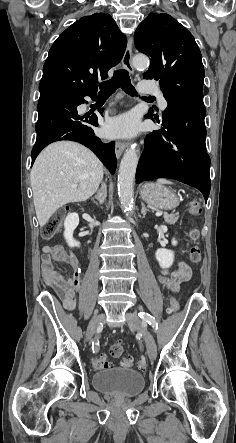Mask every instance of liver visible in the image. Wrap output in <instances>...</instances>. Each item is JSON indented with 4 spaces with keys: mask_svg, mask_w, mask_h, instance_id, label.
Instances as JSON below:
<instances>
[{
    "mask_svg": "<svg viewBox=\"0 0 236 443\" xmlns=\"http://www.w3.org/2000/svg\"><path fill=\"white\" fill-rule=\"evenodd\" d=\"M103 170L96 155L81 144L59 141L47 146L30 174L39 225L45 226L63 205L89 199L102 181Z\"/></svg>",
    "mask_w": 236,
    "mask_h": 443,
    "instance_id": "1",
    "label": "liver"
}]
</instances>
